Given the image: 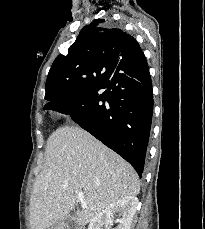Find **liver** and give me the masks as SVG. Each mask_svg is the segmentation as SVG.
Masks as SVG:
<instances>
[{"instance_id":"6515ba94","label":"liver","mask_w":205,"mask_h":229,"mask_svg":"<svg viewBox=\"0 0 205 229\" xmlns=\"http://www.w3.org/2000/svg\"><path fill=\"white\" fill-rule=\"evenodd\" d=\"M84 193L75 221L85 226L111 203L140 192L134 168L77 126L58 128L48 138L45 162L30 198L32 229H48L63 219Z\"/></svg>"}]
</instances>
